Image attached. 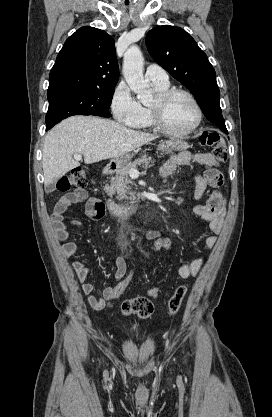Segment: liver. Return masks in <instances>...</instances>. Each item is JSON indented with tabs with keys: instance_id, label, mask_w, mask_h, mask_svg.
<instances>
[{
	"instance_id": "1",
	"label": "liver",
	"mask_w": 272,
	"mask_h": 417,
	"mask_svg": "<svg viewBox=\"0 0 272 417\" xmlns=\"http://www.w3.org/2000/svg\"><path fill=\"white\" fill-rule=\"evenodd\" d=\"M158 138L129 129L118 122L92 116H72L45 136L42 166L45 183L51 184L80 165L72 158L82 154L86 164L116 158Z\"/></svg>"
}]
</instances>
